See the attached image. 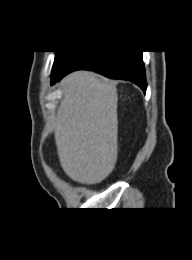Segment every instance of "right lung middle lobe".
<instances>
[{"label": "right lung middle lobe", "instance_id": "right-lung-middle-lobe-1", "mask_svg": "<svg viewBox=\"0 0 192 260\" xmlns=\"http://www.w3.org/2000/svg\"><path fill=\"white\" fill-rule=\"evenodd\" d=\"M77 54L78 52L56 51L52 77L61 72Z\"/></svg>", "mask_w": 192, "mask_h": 260}]
</instances>
